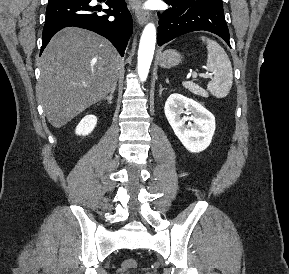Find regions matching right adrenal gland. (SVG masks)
<instances>
[{"label":"right adrenal gland","mask_w":289,"mask_h":274,"mask_svg":"<svg viewBox=\"0 0 289 274\" xmlns=\"http://www.w3.org/2000/svg\"><path fill=\"white\" fill-rule=\"evenodd\" d=\"M115 89H116V86L112 89V91L110 92V95L105 98V99L108 101L109 104L112 103L113 94H114V92H115Z\"/></svg>","instance_id":"2a0ac1e0"}]
</instances>
